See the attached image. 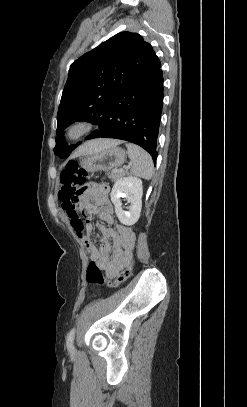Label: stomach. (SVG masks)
I'll list each match as a JSON object with an SVG mask.
<instances>
[{
  "mask_svg": "<svg viewBox=\"0 0 247 407\" xmlns=\"http://www.w3.org/2000/svg\"><path fill=\"white\" fill-rule=\"evenodd\" d=\"M126 152L114 146L85 155L79 162L82 169L87 172L109 171L124 164Z\"/></svg>",
  "mask_w": 247,
  "mask_h": 407,
  "instance_id": "obj_1",
  "label": "stomach"
}]
</instances>
